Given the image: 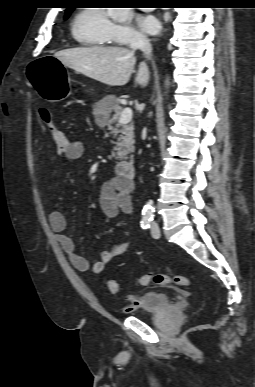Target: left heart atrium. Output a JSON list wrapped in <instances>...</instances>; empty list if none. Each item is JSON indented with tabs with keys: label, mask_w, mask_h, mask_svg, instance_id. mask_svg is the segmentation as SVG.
<instances>
[{
	"label": "left heart atrium",
	"mask_w": 255,
	"mask_h": 387,
	"mask_svg": "<svg viewBox=\"0 0 255 387\" xmlns=\"http://www.w3.org/2000/svg\"><path fill=\"white\" fill-rule=\"evenodd\" d=\"M138 24L142 31L147 34L155 35L160 30V22L153 15H142L138 18Z\"/></svg>",
	"instance_id": "39dd6f15"
}]
</instances>
